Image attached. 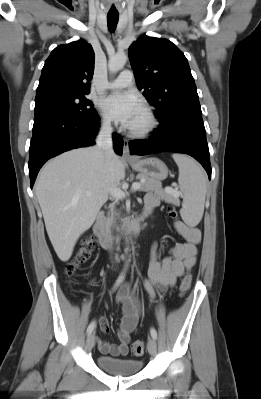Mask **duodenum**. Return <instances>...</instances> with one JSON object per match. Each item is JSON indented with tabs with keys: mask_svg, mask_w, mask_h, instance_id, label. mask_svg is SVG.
I'll return each mask as SVG.
<instances>
[{
	"mask_svg": "<svg viewBox=\"0 0 261 399\" xmlns=\"http://www.w3.org/2000/svg\"><path fill=\"white\" fill-rule=\"evenodd\" d=\"M150 214L151 210L145 209L143 212L135 216L126 227L124 235L130 238L136 236L144 221ZM93 232L101 247L108 248L112 245L114 237L107 229L105 217L102 213L98 215V218L93 225Z\"/></svg>",
	"mask_w": 261,
	"mask_h": 399,
	"instance_id": "410a0bca",
	"label": "duodenum"
}]
</instances>
